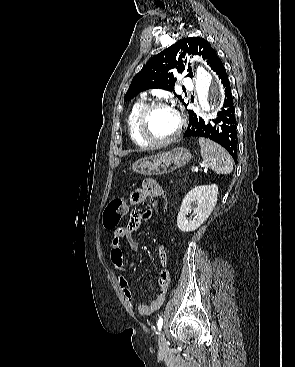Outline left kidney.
<instances>
[{
	"instance_id": "obj_1",
	"label": "left kidney",
	"mask_w": 295,
	"mask_h": 367,
	"mask_svg": "<svg viewBox=\"0 0 295 367\" xmlns=\"http://www.w3.org/2000/svg\"><path fill=\"white\" fill-rule=\"evenodd\" d=\"M218 195L216 184L196 186L189 191L181 204L177 216V226L182 232L196 230L212 213ZM193 211L195 218H187L188 213Z\"/></svg>"
}]
</instances>
